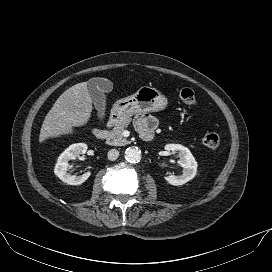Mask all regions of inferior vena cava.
<instances>
[{
	"label": "inferior vena cava",
	"instance_id": "1",
	"mask_svg": "<svg viewBox=\"0 0 272 272\" xmlns=\"http://www.w3.org/2000/svg\"><path fill=\"white\" fill-rule=\"evenodd\" d=\"M118 156H119L118 150H116V149L109 150V152H108V159L109 160L114 161L118 158Z\"/></svg>",
	"mask_w": 272,
	"mask_h": 272
}]
</instances>
